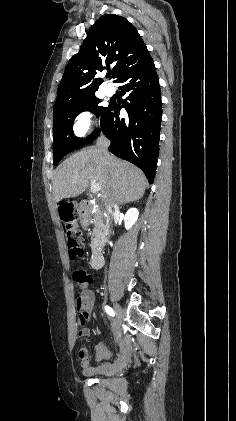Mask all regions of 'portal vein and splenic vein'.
<instances>
[{
  "instance_id": "18ae733b",
  "label": "portal vein and splenic vein",
  "mask_w": 236,
  "mask_h": 421,
  "mask_svg": "<svg viewBox=\"0 0 236 421\" xmlns=\"http://www.w3.org/2000/svg\"><path fill=\"white\" fill-rule=\"evenodd\" d=\"M90 182L92 192H98V190H101V186L98 182H96V180H90Z\"/></svg>"
}]
</instances>
